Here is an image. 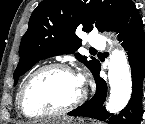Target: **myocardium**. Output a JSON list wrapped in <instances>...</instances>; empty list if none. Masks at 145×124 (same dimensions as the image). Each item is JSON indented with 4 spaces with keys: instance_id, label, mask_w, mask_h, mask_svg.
<instances>
[{
    "instance_id": "obj_1",
    "label": "myocardium",
    "mask_w": 145,
    "mask_h": 124,
    "mask_svg": "<svg viewBox=\"0 0 145 124\" xmlns=\"http://www.w3.org/2000/svg\"><path fill=\"white\" fill-rule=\"evenodd\" d=\"M53 69L66 71V72L76 76L79 79V77L76 75L75 71L69 65H67L65 63H60V62L49 63V64L43 65V66L39 67L38 69H36L34 72H32L28 76V78L24 82V84L21 88V91H20V95H19V108L25 117L31 118V119H40V118H48V117L64 115V114H67V113L71 112L72 110L76 109L85 100L86 95H87L86 88L81 83V85H82L81 94L79 95V97L76 100H74L67 106L57 109V110L49 111V112L30 113L27 110L26 103H25L26 95L28 93L30 86L32 85V83L36 80V78L40 74H42L45 71L53 70Z\"/></svg>"
}]
</instances>
